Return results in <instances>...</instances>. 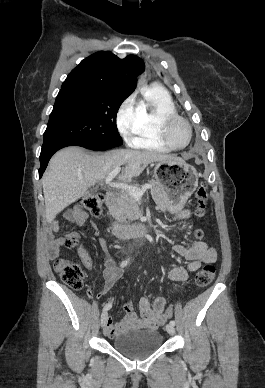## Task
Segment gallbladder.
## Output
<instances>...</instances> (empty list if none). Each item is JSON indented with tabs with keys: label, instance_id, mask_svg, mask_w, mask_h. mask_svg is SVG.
Returning <instances> with one entry per match:
<instances>
[{
	"label": "gallbladder",
	"instance_id": "1",
	"mask_svg": "<svg viewBox=\"0 0 265 388\" xmlns=\"http://www.w3.org/2000/svg\"><path fill=\"white\" fill-rule=\"evenodd\" d=\"M91 192H94V190H90L89 194H91Z\"/></svg>",
	"mask_w": 265,
	"mask_h": 388
}]
</instances>
